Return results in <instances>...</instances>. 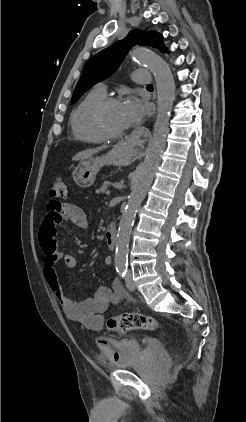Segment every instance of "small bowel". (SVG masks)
<instances>
[{
  "label": "small bowel",
  "mask_w": 246,
  "mask_h": 422,
  "mask_svg": "<svg viewBox=\"0 0 246 422\" xmlns=\"http://www.w3.org/2000/svg\"><path fill=\"white\" fill-rule=\"evenodd\" d=\"M63 221L70 222L81 229L88 226L87 217L78 206L49 204L39 231V242L45 255L43 265L45 280L56 295L68 319L88 329L98 331L104 326V313L108 307L118 304L123 298V289L117 280H113L111 289L100 286L87 298L72 300L65 293L59 282L57 263L62 260L67 268H74L76 259L70 254L63 253L58 246L57 225ZM104 261L107 265H111L109 256L105 257Z\"/></svg>",
  "instance_id": "1"
}]
</instances>
